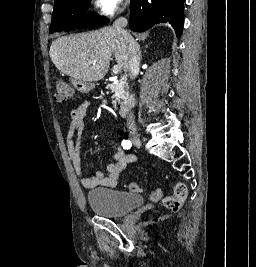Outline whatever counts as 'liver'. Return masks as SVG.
<instances>
[{"label":"liver","mask_w":256,"mask_h":267,"mask_svg":"<svg viewBox=\"0 0 256 267\" xmlns=\"http://www.w3.org/2000/svg\"><path fill=\"white\" fill-rule=\"evenodd\" d=\"M128 48L125 36L106 26L96 32L57 38L50 46L49 56L62 74L80 82H99L107 74L112 56L128 72Z\"/></svg>","instance_id":"obj_1"}]
</instances>
